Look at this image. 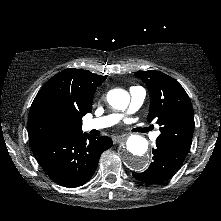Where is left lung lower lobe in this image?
I'll list each match as a JSON object with an SVG mask.
<instances>
[{"mask_svg":"<svg viewBox=\"0 0 221 221\" xmlns=\"http://www.w3.org/2000/svg\"><path fill=\"white\" fill-rule=\"evenodd\" d=\"M180 167L164 150L156 147L149 168L143 173H133V176L141 182L157 184L172 177Z\"/></svg>","mask_w":221,"mask_h":221,"instance_id":"obj_1","label":"left lung lower lobe"}]
</instances>
